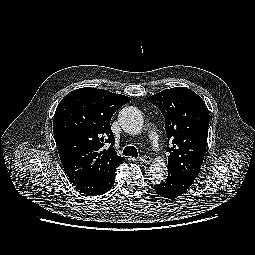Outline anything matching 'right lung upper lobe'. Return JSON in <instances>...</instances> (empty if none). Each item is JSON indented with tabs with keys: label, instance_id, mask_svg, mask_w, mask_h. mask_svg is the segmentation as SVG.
Returning a JSON list of instances; mask_svg holds the SVG:
<instances>
[{
	"label": "right lung upper lobe",
	"instance_id": "cb5924a9",
	"mask_svg": "<svg viewBox=\"0 0 255 255\" xmlns=\"http://www.w3.org/2000/svg\"><path fill=\"white\" fill-rule=\"evenodd\" d=\"M131 99L103 89L80 88L58 104L53 133L60 160L70 180L85 182L115 172L123 158L113 147L110 121ZM110 144L103 149L104 144Z\"/></svg>",
	"mask_w": 255,
	"mask_h": 255
}]
</instances>
